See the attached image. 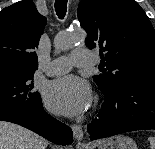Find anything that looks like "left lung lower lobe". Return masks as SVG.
<instances>
[{
    "mask_svg": "<svg viewBox=\"0 0 155 149\" xmlns=\"http://www.w3.org/2000/svg\"><path fill=\"white\" fill-rule=\"evenodd\" d=\"M102 91L105 102L98 118L87 126L91 140L155 129V76L136 78Z\"/></svg>",
    "mask_w": 155,
    "mask_h": 149,
    "instance_id": "1",
    "label": "left lung lower lobe"
}]
</instances>
